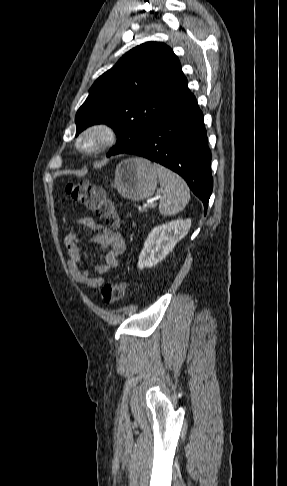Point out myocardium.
I'll return each instance as SVG.
<instances>
[{
  "label": "myocardium",
  "mask_w": 287,
  "mask_h": 486,
  "mask_svg": "<svg viewBox=\"0 0 287 486\" xmlns=\"http://www.w3.org/2000/svg\"><path fill=\"white\" fill-rule=\"evenodd\" d=\"M116 140V130L111 125L101 122L87 127L76 139L75 146L84 154L95 155L109 149Z\"/></svg>",
  "instance_id": "obj_1"
}]
</instances>
